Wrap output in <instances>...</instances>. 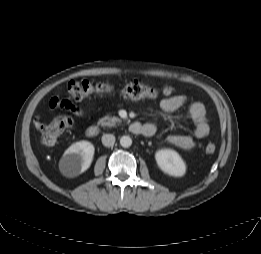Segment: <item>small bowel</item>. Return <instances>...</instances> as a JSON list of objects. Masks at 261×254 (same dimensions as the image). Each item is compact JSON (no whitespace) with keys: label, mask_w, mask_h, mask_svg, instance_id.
Returning a JSON list of instances; mask_svg holds the SVG:
<instances>
[{"label":"small bowel","mask_w":261,"mask_h":254,"mask_svg":"<svg viewBox=\"0 0 261 254\" xmlns=\"http://www.w3.org/2000/svg\"><path fill=\"white\" fill-rule=\"evenodd\" d=\"M187 97L184 94H176L161 101V108L165 112H175L181 109L186 103ZM50 106L54 108L50 101ZM57 107H64L69 109L76 116H81L82 113L79 108L72 104H58ZM189 117L193 121L195 128L193 135H183V134H172L168 137V141L183 150L192 149L195 146L197 140L205 138L209 132L210 128L206 118V108L202 102H193L189 106ZM148 129V134L145 136H153L156 133V127L151 123H146L143 125Z\"/></svg>","instance_id":"obj_1"}]
</instances>
